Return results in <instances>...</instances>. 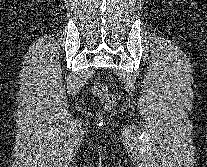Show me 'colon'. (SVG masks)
<instances>
[{"instance_id":"obj_1","label":"colon","mask_w":207,"mask_h":167,"mask_svg":"<svg viewBox=\"0 0 207 167\" xmlns=\"http://www.w3.org/2000/svg\"><path fill=\"white\" fill-rule=\"evenodd\" d=\"M92 93L98 97L106 108H111L115 105L116 98L110 93L107 86L101 83H94Z\"/></svg>"}]
</instances>
